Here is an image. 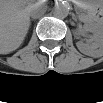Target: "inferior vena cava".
Here are the masks:
<instances>
[{"instance_id":"602c4592","label":"inferior vena cava","mask_w":103,"mask_h":103,"mask_svg":"<svg viewBox=\"0 0 103 103\" xmlns=\"http://www.w3.org/2000/svg\"><path fill=\"white\" fill-rule=\"evenodd\" d=\"M46 11V6L40 3H36L32 6L30 15L32 18H39Z\"/></svg>"}]
</instances>
